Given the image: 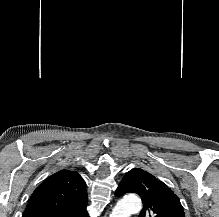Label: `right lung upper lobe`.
I'll list each match as a JSON object with an SVG mask.
<instances>
[{"label": "right lung upper lobe", "mask_w": 219, "mask_h": 217, "mask_svg": "<svg viewBox=\"0 0 219 217\" xmlns=\"http://www.w3.org/2000/svg\"><path fill=\"white\" fill-rule=\"evenodd\" d=\"M85 185L72 170L49 176L33 192L23 217H88Z\"/></svg>", "instance_id": "cb5924a9"}]
</instances>
